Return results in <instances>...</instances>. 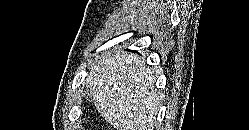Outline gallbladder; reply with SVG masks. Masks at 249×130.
<instances>
[{
    "mask_svg": "<svg viewBox=\"0 0 249 130\" xmlns=\"http://www.w3.org/2000/svg\"><path fill=\"white\" fill-rule=\"evenodd\" d=\"M83 96L87 101H93V93L89 88L85 89Z\"/></svg>",
    "mask_w": 249,
    "mask_h": 130,
    "instance_id": "obj_1",
    "label": "gallbladder"
}]
</instances>
